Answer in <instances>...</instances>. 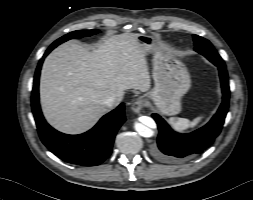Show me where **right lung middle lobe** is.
<instances>
[{
    "mask_svg": "<svg viewBox=\"0 0 253 200\" xmlns=\"http://www.w3.org/2000/svg\"><path fill=\"white\" fill-rule=\"evenodd\" d=\"M98 32H99V30H95V29L94 30H84V31H73V32L68 33V34L64 35L63 37L59 38L52 45L58 46L59 44L65 42L71 38L87 37V36L94 35Z\"/></svg>",
    "mask_w": 253,
    "mask_h": 200,
    "instance_id": "obj_1",
    "label": "right lung middle lobe"
}]
</instances>
